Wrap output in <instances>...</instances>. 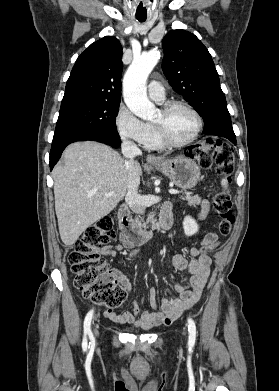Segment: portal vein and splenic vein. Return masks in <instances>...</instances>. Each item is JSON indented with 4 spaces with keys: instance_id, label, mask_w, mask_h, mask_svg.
<instances>
[{
    "instance_id": "18ae733b",
    "label": "portal vein and splenic vein",
    "mask_w": 279,
    "mask_h": 391,
    "mask_svg": "<svg viewBox=\"0 0 279 391\" xmlns=\"http://www.w3.org/2000/svg\"><path fill=\"white\" fill-rule=\"evenodd\" d=\"M169 193H170V194H177L178 191L175 190V189H170V190H169ZM114 194H115L114 192H109V193L106 194V196H112V195H114Z\"/></svg>"
}]
</instances>
